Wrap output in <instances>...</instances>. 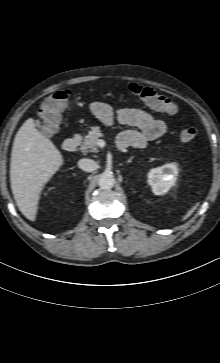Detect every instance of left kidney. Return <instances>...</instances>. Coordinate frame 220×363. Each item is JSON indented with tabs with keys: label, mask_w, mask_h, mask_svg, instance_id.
I'll return each mask as SVG.
<instances>
[{
	"label": "left kidney",
	"mask_w": 220,
	"mask_h": 363,
	"mask_svg": "<svg viewBox=\"0 0 220 363\" xmlns=\"http://www.w3.org/2000/svg\"><path fill=\"white\" fill-rule=\"evenodd\" d=\"M178 173L176 164H165L162 167L151 169L148 173V184L155 195H163L174 184Z\"/></svg>",
	"instance_id": "1"
}]
</instances>
